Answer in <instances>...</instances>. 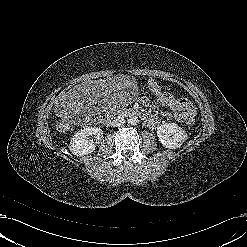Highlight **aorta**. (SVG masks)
I'll use <instances>...</instances> for the list:
<instances>
[{"instance_id": "762f6f07", "label": "aorta", "mask_w": 247, "mask_h": 247, "mask_svg": "<svg viewBox=\"0 0 247 247\" xmlns=\"http://www.w3.org/2000/svg\"><path fill=\"white\" fill-rule=\"evenodd\" d=\"M127 122L129 125L135 126L138 124L139 119L137 116H129V118L127 119Z\"/></svg>"}]
</instances>
